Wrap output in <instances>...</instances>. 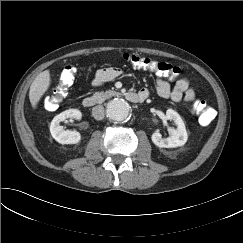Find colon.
Here are the masks:
<instances>
[{
  "instance_id": "colon-1",
  "label": "colon",
  "mask_w": 243,
  "mask_h": 243,
  "mask_svg": "<svg viewBox=\"0 0 243 243\" xmlns=\"http://www.w3.org/2000/svg\"><path fill=\"white\" fill-rule=\"evenodd\" d=\"M123 60L134 67L154 71L161 76L168 77L171 80L175 79L180 73V69L173 64L163 61H155L137 54H124ZM76 72L77 69L71 65L65 66L62 69L59 76L58 86L55 88L53 94L46 97L44 100L46 108L55 109L58 107L63 98L67 95L68 88L73 84ZM193 110L198 114L199 121L203 125L210 124L215 118L214 109L204 100L196 101L193 105Z\"/></svg>"
}]
</instances>
